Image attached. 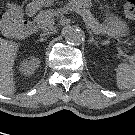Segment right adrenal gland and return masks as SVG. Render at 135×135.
<instances>
[{
    "label": "right adrenal gland",
    "mask_w": 135,
    "mask_h": 135,
    "mask_svg": "<svg viewBox=\"0 0 135 135\" xmlns=\"http://www.w3.org/2000/svg\"><path fill=\"white\" fill-rule=\"evenodd\" d=\"M46 40H47V37L40 39L41 42L46 41Z\"/></svg>",
    "instance_id": "1"
}]
</instances>
